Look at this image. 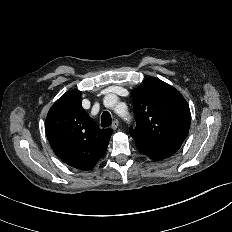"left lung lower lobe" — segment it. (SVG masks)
I'll return each instance as SVG.
<instances>
[{"instance_id":"1","label":"left lung lower lobe","mask_w":232,"mask_h":232,"mask_svg":"<svg viewBox=\"0 0 232 232\" xmlns=\"http://www.w3.org/2000/svg\"><path fill=\"white\" fill-rule=\"evenodd\" d=\"M138 149L155 161H159L172 156L179 150L181 144L171 143L157 146L136 144Z\"/></svg>"}]
</instances>
